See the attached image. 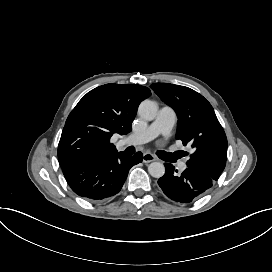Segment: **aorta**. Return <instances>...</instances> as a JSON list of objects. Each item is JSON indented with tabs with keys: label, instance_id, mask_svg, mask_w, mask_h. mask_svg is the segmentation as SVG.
Returning <instances> with one entry per match:
<instances>
[{
	"label": "aorta",
	"instance_id": "aorta-1",
	"mask_svg": "<svg viewBox=\"0 0 272 272\" xmlns=\"http://www.w3.org/2000/svg\"><path fill=\"white\" fill-rule=\"evenodd\" d=\"M158 112V104L151 100H144L138 108V114L148 120H153ZM148 172L152 177L160 178L165 173V167L161 162H152L148 166Z\"/></svg>",
	"mask_w": 272,
	"mask_h": 272
}]
</instances>
